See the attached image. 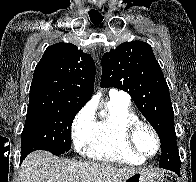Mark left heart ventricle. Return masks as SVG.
Listing matches in <instances>:
<instances>
[{
    "instance_id": "1",
    "label": "left heart ventricle",
    "mask_w": 196,
    "mask_h": 182,
    "mask_svg": "<svg viewBox=\"0 0 196 182\" xmlns=\"http://www.w3.org/2000/svg\"><path fill=\"white\" fill-rule=\"evenodd\" d=\"M136 144L145 154H153L157 148L155 137L147 128L139 130L136 136Z\"/></svg>"
}]
</instances>
